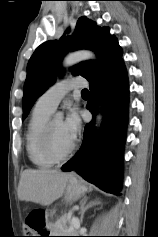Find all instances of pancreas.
I'll return each instance as SVG.
<instances>
[{"instance_id":"pancreas-1","label":"pancreas","mask_w":158,"mask_h":237,"mask_svg":"<svg viewBox=\"0 0 158 237\" xmlns=\"http://www.w3.org/2000/svg\"><path fill=\"white\" fill-rule=\"evenodd\" d=\"M52 236L76 235L77 227L71 224V218L62 216L54 224H48Z\"/></svg>"}]
</instances>
